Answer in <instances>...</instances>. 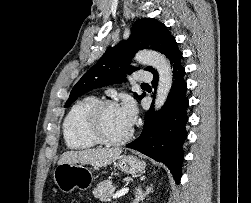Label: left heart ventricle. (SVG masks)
I'll return each instance as SVG.
<instances>
[{"label":"left heart ventricle","mask_w":251,"mask_h":203,"mask_svg":"<svg viewBox=\"0 0 251 203\" xmlns=\"http://www.w3.org/2000/svg\"><path fill=\"white\" fill-rule=\"evenodd\" d=\"M130 126L123 118L119 106H112L105 110L102 116V129L105 135L112 139H118L125 136Z\"/></svg>","instance_id":"1"}]
</instances>
